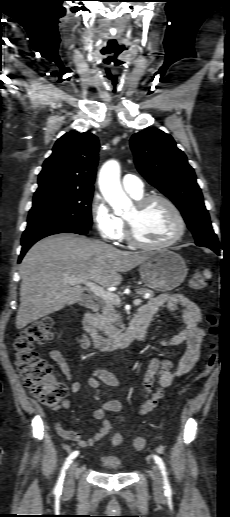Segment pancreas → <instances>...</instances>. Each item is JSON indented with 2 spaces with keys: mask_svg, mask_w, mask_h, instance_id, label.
Returning <instances> with one entry per match:
<instances>
[{
  "mask_svg": "<svg viewBox=\"0 0 230 517\" xmlns=\"http://www.w3.org/2000/svg\"><path fill=\"white\" fill-rule=\"evenodd\" d=\"M138 295L149 294V297L154 296V292L148 288H138L135 290ZM101 313L97 315L96 326L106 336L113 338L121 332V317L115 309V304L107 301H101Z\"/></svg>",
  "mask_w": 230,
  "mask_h": 517,
  "instance_id": "obj_1",
  "label": "pancreas"
}]
</instances>
